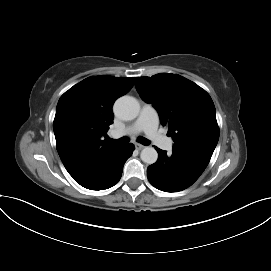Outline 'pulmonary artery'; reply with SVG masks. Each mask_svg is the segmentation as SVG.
<instances>
[{
	"instance_id": "pulmonary-artery-1",
	"label": "pulmonary artery",
	"mask_w": 271,
	"mask_h": 271,
	"mask_svg": "<svg viewBox=\"0 0 271 271\" xmlns=\"http://www.w3.org/2000/svg\"><path fill=\"white\" fill-rule=\"evenodd\" d=\"M159 117L157 111L151 105H145L140 111L137 120L123 132H113V137L122 134H137L144 132L148 138L158 147L171 150L173 141L158 132Z\"/></svg>"
}]
</instances>
